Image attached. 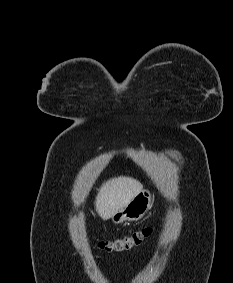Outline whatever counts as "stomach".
<instances>
[{
  "label": "stomach",
  "mask_w": 233,
  "mask_h": 283,
  "mask_svg": "<svg viewBox=\"0 0 233 283\" xmlns=\"http://www.w3.org/2000/svg\"><path fill=\"white\" fill-rule=\"evenodd\" d=\"M151 206V193L148 190H142L127 206L116 212L111 219L115 224H120L124 221H137L146 214Z\"/></svg>",
  "instance_id": "0dacf381"
}]
</instances>
